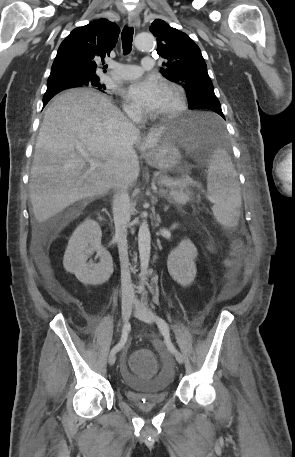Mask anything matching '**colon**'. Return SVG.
<instances>
[{
    "mask_svg": "<svg viewBox=\"0 0 295 457\" xmlns=\"http://www.w3.org/2000/svg\"><path fill=\"white\" fill-rule=\"evenodd\" d=\"M248 245V236L245 233H240L233 238L231 243V257L227 260V267L230 274H234L241 262ZM132 360H135L133 369L134 372H139L140 378H151L152 372H157L158 366L153 357V351L149 346H136L131 353Z\"/></svg>",
    "mask_w": 295,
    "mask_h": 457,
    "instance_id": "1",
    "label": "colon"
}]
</instances>
